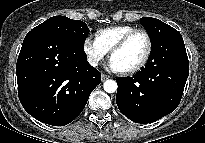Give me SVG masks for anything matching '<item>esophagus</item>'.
<instances>
[{
  "label": "esophagus",
  "mask_w": 205,
  "mask_h": 143,
  "mask_svg": "<svg viewBox=\"0 0 205 143\" xmlns=\"http://www.w3.org/2000/svg\"><path fill=\"white\" fill-rule=\"evenodd\" d=\"M110 77L108 76V75H106V74H101V80L102 81H105V80H107V79H109Z\"/></svg>",
  "instance_id": "1"
}]
</instances>
